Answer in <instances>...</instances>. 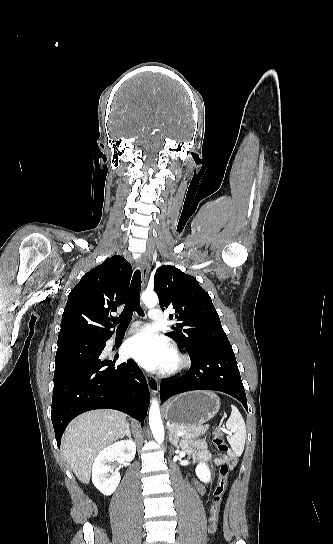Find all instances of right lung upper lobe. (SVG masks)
Wrapping results in <instances>:
<instances>
[{
  "label": "right lung upper lobe",
  "instance_id": "right-lung-upper-lobe-1",
  "mask_svg": "<svg viewBox=\"0 0 333 544\" xmlns=\"http://www.w3.org/2000/svg\"><path fill=\"white\" fill-rule=\"evenodd\" d=\"M131 275V265L119 255L86 273L68 296L58 346L111 337L114 325L108 315L125 302Z\"/></svg>",
  "mask_w": 333,
  "mask_h": 544
}]
</instances>
